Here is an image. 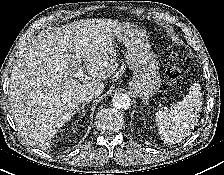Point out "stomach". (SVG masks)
<instances>
[{
  "mask_svg": "<svg viewBox=\"0 0 224 175\" xmlns=\"http://www.w3.org/2000/svg\"><path fill=\"white\" fill-rule=\"evenodd\" d=\"M126 47V62L133 71L128 88L137 96L149 99L159 90L161 78L159 62L152 51L146 34L134 24H122L115 35Z\"/></svg>",
  "mask_w": 224,
  "mask_h": 175,
  "instance_id": "stomach-1",
  "label": "stomach"
}]
</instances>
